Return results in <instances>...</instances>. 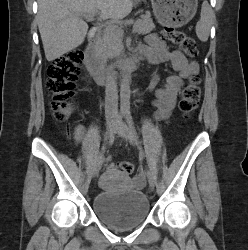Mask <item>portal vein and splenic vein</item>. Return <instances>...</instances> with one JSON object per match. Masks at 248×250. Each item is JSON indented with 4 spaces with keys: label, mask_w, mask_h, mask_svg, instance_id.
<instances>
[{
    "label": "portal vein and splenic vein",
    "mask_w": 248,
    "mask_h": 250,
    "mask_svg": "<svg viewBox=\"0 0 248 250\" xmlns=\"http://www.w3.org/2000/svg\"><path fill=\"white\" fill-rule=\"evenodd\" d=\"M95 15H96V13L83 14V16L88 20H93ZM98 22H99V25L105 26L106 29L118 28V26H116V25H111V24H108L107 22H105V18L101 17V16L98 18ZM134 31H135V29H134Z\"/></svg>",
    "instance_id": "1"
}]
</instances>
